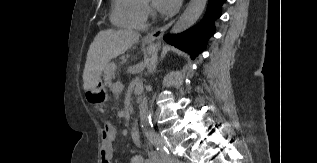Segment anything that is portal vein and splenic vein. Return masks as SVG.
I'll list each match as a JSON object with an SVG mask.
<instances>
[{
    "mask_svg": "<svg viewBox=\"0 0 317 163\" xmlns=\"http://www.w3.org/2000/svg\"><path fill=\"white\" fill-rule=\"evenodd\" d=\"M114 88L116 90H122L123 89V84L120 81H117L114 85Z\"/></svg>",
    "mask_w": 317,
    "mask_h": 163,
    "instance_id": "1",
    "label": "portal vein and splenic vein"
}]
</instances>
